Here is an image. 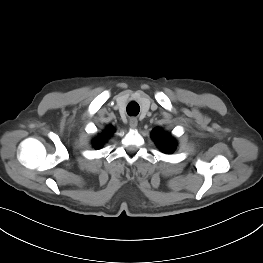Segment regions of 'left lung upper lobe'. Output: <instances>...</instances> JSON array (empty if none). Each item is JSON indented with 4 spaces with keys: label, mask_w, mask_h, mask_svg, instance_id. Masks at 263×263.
<instances>
[{
    "label": "left lung upper lobe",
    "mask_w": 263,
    "mask_h": 263,
    "mask_svg": "<svg viewBox=\"0 0 263 263\" xmlns=\"http://www.w3.org/2000/svg\"><path fill=\"white\" fill-rule=\"evenodd\" d=\"M152 138L162 152L169 154L175 151L176 141L171 138L169 133L164 132L161 128L153 130Z\"/></svg>",
    "instance_id": "left-lung-upper-lobe-1"
}]
</instances>
